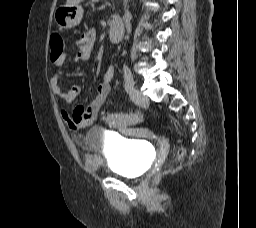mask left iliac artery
<instances>
[{
    "label": "left iliac artery",
    "mask_w": 256,
    "mask_h": 228,
    "mask_svg": "<svg viewBox=\"0 0 256 228\" xmlns=\"http://www.w3.org/2000/svg\"><path fill=\"white\" fill-rule=\"evenodd\" d=\"M123 70H124V86H125V90L127 92H129L134 87L133 75H132L131 70L128 68L127 65L123 66Z\"/></svg>",
    "instance_id": "left-iliac-artery-1"
}]
</instances>
